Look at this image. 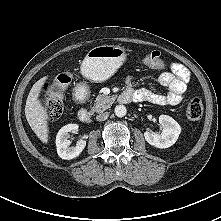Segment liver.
I'll list each match as a JSON object with an SVG mask.
<instances>
[{
	"label": "liver",
	"instance_id": "obj_1",
	"mask_svg": "<svg viewBox=\"0 0 221 221\" xmlns=\"http://www.w3.org/2000/svg\"><path fill=\"white\" fill-rule=\"evenodd\" d=\"M48 79L47 76L38 80L31 88L25 105L27 122L41 142L47 144L49 140L48 112L42 105L39 95Z\"/></svg>",
	"mask_w": 221,
	"mask_h": 221
}]
</instances>
